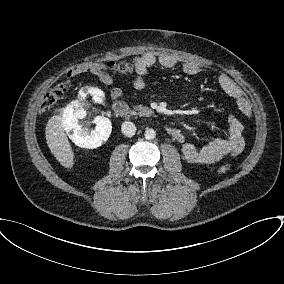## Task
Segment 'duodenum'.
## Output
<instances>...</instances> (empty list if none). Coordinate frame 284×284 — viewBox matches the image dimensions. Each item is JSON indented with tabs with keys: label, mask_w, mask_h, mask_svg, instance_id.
<instances>
[{
	"label": "duodenum",
	"mask_w": 284,
	"mask_h": 284,
	"mask_svg": "<svg viewBox=\"0 0 284 284\" xmlns=\"http://www.w3.org/2000/svg\"><path fill=\"white\" fill-rule=\"evenodd\" d=\"M113 110L116 114H118L124 119H129L131 117V110L129 106L123 101L120 100L115 101L113 103ZM167 132L171 137L177 135V130L174 128H169Z\"/></svg>",
	"instance_id": "1"
}]
</instances>
